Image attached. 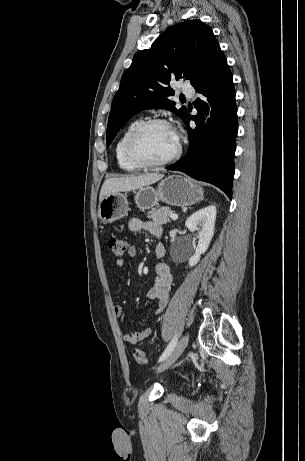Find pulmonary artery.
Listing matches in <instances>:
<instances>
[{
  "mask_svg": "<svg viewBox=\"0 0 305 461\" xmlns=\"http://www.w3.org/2000/svg\"><path fill=\"white\" fill-rule=\"evenodd\" d=\"M182 91L189 97L194 96V93H195L194 89L189 85H183Z\"/></svg>",
  "mask_w": 305,
  "mask_h": 461,
  "instance_id": "pulmonary-artery-1",
  "label": "pulmonary artery"
}]
</instances>
